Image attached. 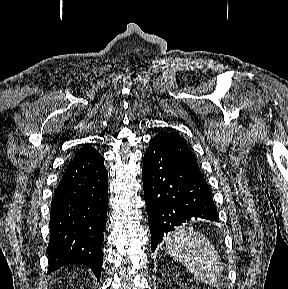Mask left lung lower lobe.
<instances>
[{"label": "left lung lower lobe", "instance_id": "obj_1", "mask_svg": "<svg viewBox=\"0 0 288 289\" xmlns=\"http://www.w3.org/2000/svg\"><path fill=\"white\" fill-rule=\"evenodd\" d=\"M142 175L152 251L165 234L192 217L219 222L211 189L200 170L153 138L144 154Z\"/></svg>", "mask_w": 288, "mask_h": 289}]
</instances>
